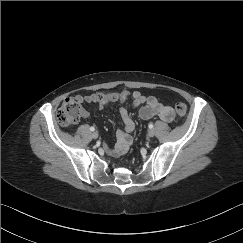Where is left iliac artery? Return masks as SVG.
<instances>
[{"label":"left iliac artery","mask_w":243,"mask_h":243,"mask_svg":"<svg viewBox=\"0 0 243 243\" xmlns=\"http://www.w3.org/2000/svg\"><path fill=\"white\" fill-rule=\"evenodd\" d=\"M148 127H149V129H152V128H153V124L150 123V124L148 125Z\"/></svg>","instance_id":"obj_1"}]
</instances>
